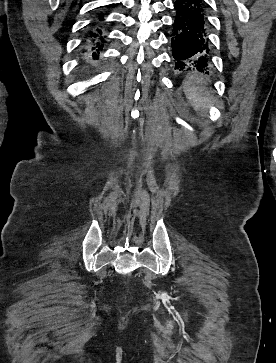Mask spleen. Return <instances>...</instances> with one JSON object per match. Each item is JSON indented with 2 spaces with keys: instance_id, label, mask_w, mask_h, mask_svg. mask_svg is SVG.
Returning a JSON list of instances; mask_svg holds the SVG:
<instances>
[{
  "instance_id": "obj_1",
  "label": "spleen",
  "mask_w": 276,
  "mask_h": 363,
  "mask_svg": "<svg viewBox=\"0 0 276 363\" xmlns=\"http://www.w3.org/2000/svg\"><path fill=\"white\" fill-rule=\"evenodd\" d=\"M184 91L196 113L205 117L207 108L214 101L207 88V81L202 77L191 75L184 82Z\"/></svg>"
}]
</instances>
